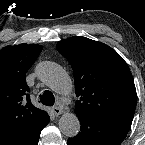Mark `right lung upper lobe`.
<instances>
[{"label": "right lung upper lobe", "mask_w": 145, "mask_h": 145, "mask_svg": "<svg viewBox=\"0 0 145 145\" xmlns=\"http://www.w3.org/2000/svg\"><path fill=\"white\" fill-rule=\"evenodd\" d=\"M41 51L36 44L0 50V145L48 115L31 104L26 83V72Z\"/></svg>", "instance_id": "right-lung-upper-lobe-1"}]
</instances>
